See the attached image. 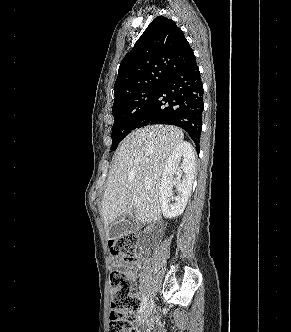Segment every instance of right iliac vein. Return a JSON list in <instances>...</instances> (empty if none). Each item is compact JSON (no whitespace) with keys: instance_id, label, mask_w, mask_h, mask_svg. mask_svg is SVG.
<instances>
[{"instance_id":"1","label":"right iliac vein","mask_w":291,"mask_h":332,"mask_svg":"<svg viewBox=\"0 0 291 332\" xmlns=\"http://www.w3.org/2000/svg\"><path fill=\"white\" fill-rule=\"evenodd\" d=\"M153 308H154V302L151 301V302H149V304L147 305L145 310L142 312V314L139 316L138 322L142 323V322L146 321L148 319V317L151 315Z\"/></svg>"}]
</instances>
